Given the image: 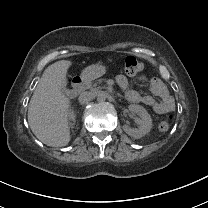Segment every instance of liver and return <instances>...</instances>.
Returning a JSON list of instances; mask_svg holds the SVG:
<instances>
[{
    "mask_svg": "<svg viewBox=\"0 0 208 208\" xmlns=\"http://www.w3.org/2000/svg\"><path fill=\"white\" fill-rule=\"evenodd\" d=\"M72 61L59 60L45 68L28 106V123L34 135L50 147H64L71 140V100L64 89Z\"/></svg>",
    "mask_w": 208,
    "mask_h": 208,
    "instance_id": "1",
    "label": "liver"
}]
</instances>
